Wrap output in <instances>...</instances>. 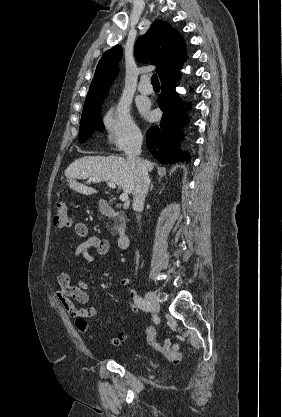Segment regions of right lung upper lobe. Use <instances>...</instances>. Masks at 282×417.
I'll use <instances>...</instances> for the list:
<instances>
[{
    "label": "right lung upper lobe",
    "mask_w": 282,
    "mask_h": 417,
    "mask_svg": "<svg viewBox=\"0 0 282 417\" xmlns=\"http://www.w3.org/2000/svg\"><path fill=\"white\" fill-rule=\"evenodd\" d=\"M185 41L168 22L155 20L146 34L135 43V56L140 62L156 64L160 79L186 59ZM122 57L119 45L108 50L100 59L88 96L108 93L118 73Z\"/></svg>",
    "instance_id": "1"
}]
</instances>
